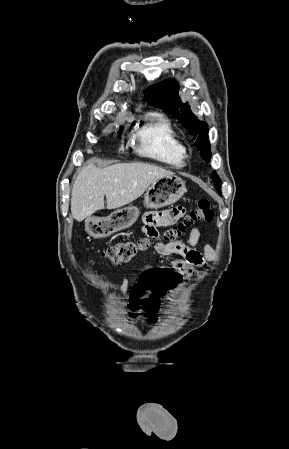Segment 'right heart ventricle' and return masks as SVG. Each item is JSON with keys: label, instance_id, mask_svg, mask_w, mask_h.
<instances>
[{"label": "right heart ventricle", "instance_id": "1", "mask_svg": "<svg viewBox=\"0 0 289 449\" xmlns=\"http://www.w3.org/2000/svg\"><path fill=\"white\" fill-rule=\"evenodd\" d=\"M139 152L163 163L181 167L187 152L169 120L157 112L149 113L138 128Z\"/></svg>", "mask_w": 289, "mask_h": 449}]
</instances>
